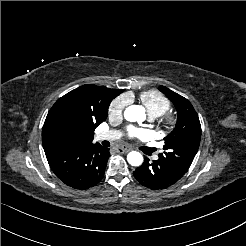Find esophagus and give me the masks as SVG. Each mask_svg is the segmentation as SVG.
Listing matches in <instances>:
<instances>
[{
	"label": "esophagus",
	"mask_w": 246,
	"mask_h": 246,
	"mask_svg": "<svg viewBox=\"0 0 246 246\" xmlns=\"http://www.w3.org/2000/svg\"><path fill=\"white\" fill-rule=\"evenodd\" d=\"M116 150H117V152H121V153H128L131 151L130 148L124 147V146L118 147Z\"/></svg>",
	"instance_id": "34e87169"
}]
</instances>
